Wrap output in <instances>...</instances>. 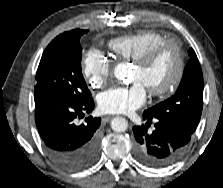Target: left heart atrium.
<instances>
[{
    "label": "left heart atrium",
    "mask_w": 223,
    "mask_h": 188,
    "mask_svg": "<svg viewBox=\"0 0 223 188\" xmlns=\"http://www.w3.org/2000/svg\"><path fill=\"white\" fill-rule=\"evenodd\" d=\"M146 97L144 85L134 81L129 86H116L100 93L97 102L102 113L127 114L141 107Z\"/></svg>",
    "instance_id": "left-heart-atrium-1"
}]
</instances>
